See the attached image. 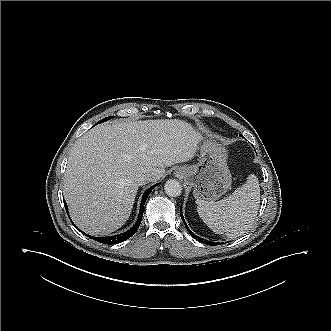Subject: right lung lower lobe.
<instances>
[{"label":"right lung lower lobe","mask_w":331,"mask_h":331,"mask_svg":"<svg viewBox=\"0 0 331 331\" xmlns=\"http://www.w3.org/2000/svg\"><path fill=\"white\" fill-rule=\"evenodd\" d=\"M158 184L150 187L143 195L142 197V203L140 206V210H139V216H138V220L136 222V224L128 231H126L125 233L122 234H118V235H114V236H108V237H93V236H89L87 234H85L84 232H82L83 234L87 235L89 238H92L93 240H96L100 243L103 244H118L121 243L123 241H125L126 239L130 238L132 235H134L138 229V227L140 226L141 220H142V216H143V209H144V204L145 201L149 195V193L153 190V188L155 186H157ZM65 208L67 210V214H68V208H67V204L64 203Z\"/></svg>","instance_id":"obj_1"}]
</instances>
